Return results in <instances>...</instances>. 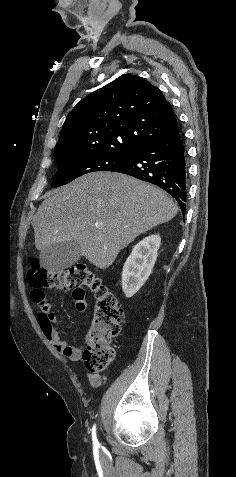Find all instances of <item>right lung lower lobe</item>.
<instances>
[{
    "label": "right lung lower lobe",
    "mask_w": 236,
    "mask_h": 477,
    "mask_svg": "<svg viewBox=\"0 0 236 477\" xmlns=\"http://www.w3.org/2000/svg\"><path fill=\"white\" fill-rule=\"evenodd\" d=\"M150 182L168 192L186 213L187 170L184 138L177 129L168 137L134 152L112 170Z\"/></svg>",
    "instance_id": "98d812e1"
}]
</instances>
